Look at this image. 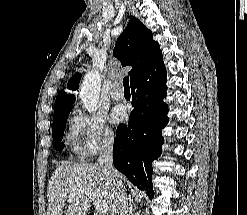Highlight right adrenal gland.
<instances>
[{
	"label": "right adrenal gland",
	"mask_w": 247,
	"mask_h": 215,
	"mask_svg": "<svg viewBox=\"0 0 247 215\" xmlns=\"http://www.w3.org/2000/svg\"><path fill=\"white\" fill-rule=\"evenodd\" d=\"M128 210H129V213H128V215H132V213L134 212V202H133V200L132 199H129V208H128Z\"/></svg>",
	"instance_id": "right-adrenal-gland-1"
}]
</instances>
